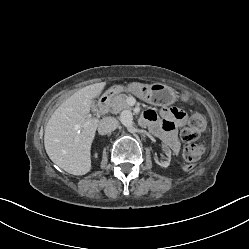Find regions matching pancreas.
<instances>
[{
	"label": "pancreas",
	"mask_w": 249,
	"mask_h": 249,
	"mask_svg": "<svg viewBox=\"0 0 249 249\" xmlns=\"http://www.w3.org/2000/svg\"><path fill=\"white\" fill-rule=\"evenodd\" d=\"M127 97L126 94H119L109 98V106L114 114H117L124 109H130V106L126 102Z\"/></svg>",
	"instance_id": "pancreas-1"
}]
</instances>
